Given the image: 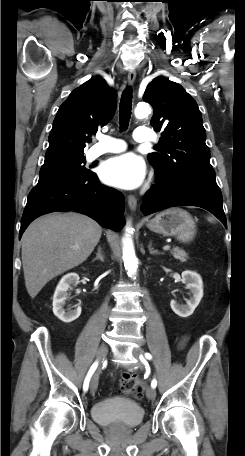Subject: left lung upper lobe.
I'll list each match as a JSON object with an SVG mask.
<instances>
[{
	"label": "left lung upper lobe",
	"mask_w": 245,
	"mask_h": 456,
	"mask_svg": "<svg viewBox=\"0 0 245 456\" xmlns=\"http://www.w3.org/2000/svg\"><path fill=\"white\" fill-rule=\"evenodd\" d=\"M143 100L153 107L151 125L162 131L161 147L148 160L162 176L215 180L206 146V132L196 101L178 83L156 77L147 86Z\"/></svg>",
	"instance_id": "obj_1"
}]
</instances>
